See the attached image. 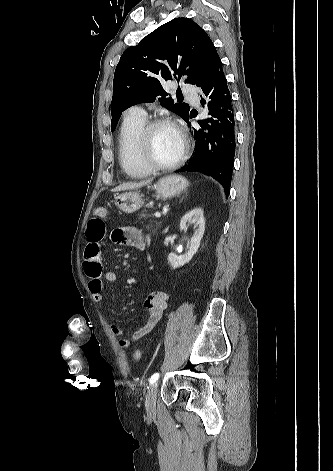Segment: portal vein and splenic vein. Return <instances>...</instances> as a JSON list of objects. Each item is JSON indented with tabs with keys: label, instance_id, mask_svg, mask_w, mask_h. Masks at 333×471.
I'll return each instance as SVG.
<instances>
[{
	"label": "portal vein and splenic vein",
	"instance_id": "obj_1",
	"mask_svg": "<svg viewBox=\"0 0 333 471\" xmlns=\"http://www.w3.org/2000/svg\"><path fill=\"white\" fill-rule=\"evenodd\" d=\"M154 216H155L156 218H160V217H161V213H160V212H155Z\"/></svg>",
	"mask_w": 333,
	"mask_h": 471
}]
</instances>
